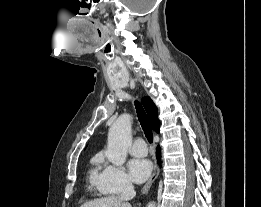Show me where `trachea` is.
Instances as JSON below:
<instances>
[{"label": "trachea", "instance_id": "1", "mask_svg": "<svg viewBox=\"0 0 261 207\" xmlns=\"http://www.w3.org/2000/svg\"><path fill=\"white\" fill-rule=\"evenodd\" d=\"M135 107H136L138 119H139L142 129L144 131V134H145L147 140L149 141V143H152L153 142V133H152L151 127L149 125L146 112L139 102H135Z\"/></svg>", "mask_w": 261, "mask_h": 207}]
</instances>
